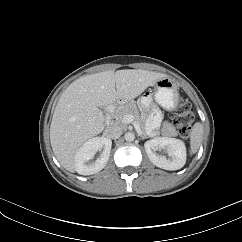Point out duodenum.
Returning <instances> with one entry per match:
<instances>
[{"mask_svg":"<svg viewBox=\"0 0 242 242\" xmlns=\"http://www.w3.org/2000/svg\"><path fill=\"white\" fill-rule=\"evenodd\" d=\"M114 109H115V105H114V104L110 105V106L107 108V112H106V116H105V119H106L107 122L109 121L110 116H111L112 113L114 112Z\"/></svg>","mask_w":242,"mask_h":242,"instance_id":"obj_1","label":"duodenum"}]
</instances>
